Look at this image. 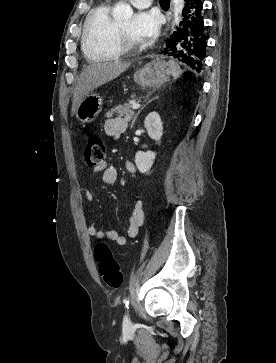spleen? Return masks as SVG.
<instances>
[{
    "label": "spleen",
    "mask_w": 276,
    "mask_h": 363,
    "mask_svg": "<svg viewBox=\"0 0 276 363\" xmlns=\"http://www.w3.org/2000/svg\"><path fill=\"white\" fill-rule=\"evenodd\" d=\"M169 66H170L171 75L173 76V78L178 79L183 73V71L181 70L178 63H176L175 61H170Z\"/></svg>",
    "instance_id": "obj_1"
}]
</instances>
